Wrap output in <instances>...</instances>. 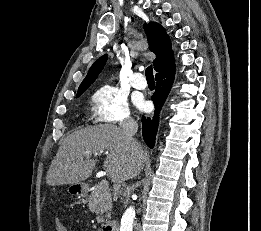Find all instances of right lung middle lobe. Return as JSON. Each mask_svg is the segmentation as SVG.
<instances>
[{"label": "right lung middle lobe", "mask_w": 261, "mask_h": 231, "mask_svg": "<svg viewBox=\"0 0 261 231\" xmlns=\"http://www.w3.org/2000/svg\"><path fill=\"white\" fill-rule=\"evenodd\" d=\"M83 92H79L77 93V96L76 97H79Z\"/></svg>", "instance_id": "right-lung-middle-lobe-1"}]
</instances>
